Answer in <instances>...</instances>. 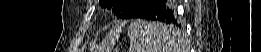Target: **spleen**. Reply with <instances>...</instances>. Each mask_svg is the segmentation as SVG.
<instances>
[{
	"label": "spleen",
	"instance_id": "3e777b00",
	"mask_svg": "<svg viewBox=\"0 0 261 52\" xmlns=\"http://www.w3.org/2000/svg\"><path fill=\"white\" fill-rule=\"evenodd\" d=\"M160 22L135 21L129 26L128 35L134 52H175L179 36Z\"/></svg>",
	"mask_w": 261,
	"mask_h": 52
}]
</instances>
